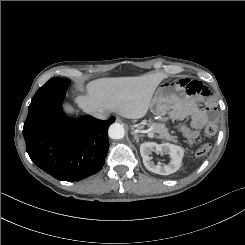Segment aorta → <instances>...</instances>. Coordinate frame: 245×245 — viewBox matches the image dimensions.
<instances>
[{"label": "aorta", "instance_id": "762f6f07", "mask_svg": "<svg viewBox=\"0 0 245 245\" xmlns=\"http://www.w3.org/2000/svg\"><path fill=\"white\" fill-rule=\"evenodd\" d=\"M108 134L111 139H122L125 134L124 127L119 123H113L109 127Z\"/></svg>", "mask_w": 245, "mask_h": 245}]
</instances>
